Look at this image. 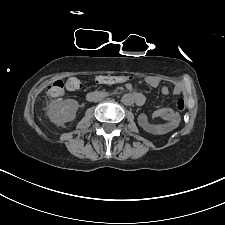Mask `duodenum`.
<instances>
[{
	"label": "duodenum",
	"mask_w": 225,
	"mask_h": 225,
	"mask_svg": "<svg viewBox=\"0 0 225 225\" xmlns=\"http://www.w3.org/2000/svg\"><path fill=\"white\" fill-rule=\"evenodd\" d=\"M110 95L109 92L106 91H93L87 94V99L92 101V100H100L103 98H106ZM128 98H131L133 102L137 105H142L144 102V97L141 94L138 93H131L127 94Z\"/></svg>",
	"instance_id": "1"
}]
</instances>
